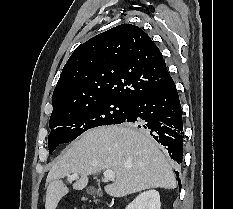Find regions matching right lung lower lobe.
<instances>
[{"label":"right lung lower lobe","instance_id":"1","mask_svg":"<svg viewBox=\"0 0 233 209\" xmlns=\"http://www.w3.org/2000/svg\"><path fill=\"white\" fill-rule=\"evenodd\" d=\"M148 133L168 150L177 163L183 157V121L179 96L171 76L157 89L137 96L123 122ZM180 184L179 172H176ZM180 187V186H179Z\"/></svg>","mask_w":233,"mask_h":209}]
</instances>
